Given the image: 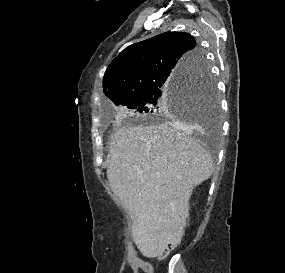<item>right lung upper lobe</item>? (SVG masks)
<instances>
[{
	"label": "right lung upper lobe",
	"mask_w": 285,
	"mask_h": 273,
	"mask_svg": "<svg viewBox=\"0 0 285 273\" xmlns=\"http://www.w3.org/2000/svg\"><path fill=\"white\" fill-rule=\"evenodd\" d=\"M205 65L195 39L185 32H165L125 48L108 66L103 91L116 105L199 72Z\"/></svg>",
	"instance_id": "obj_1"
}]
</instances>
